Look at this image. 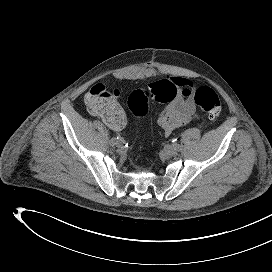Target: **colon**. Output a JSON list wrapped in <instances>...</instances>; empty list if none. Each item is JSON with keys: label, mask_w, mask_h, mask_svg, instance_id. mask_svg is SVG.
Returning <instances> with one entry per match:
<instances>
[{"label": "colon", "mask_w": 272, "mask_h": 272, "mask_svg": "<svg viewBox=\"0 0 272 272\" xmlns=\"http://www.w3.org/2000/svg\"><path fill=\"white\" fill-rule=\"evenodd\" d=\"M184 97L193 96L195 103L208 118H216L221 113V102L217 93L207 85L183 87L179 89L171 79H162L151 84L147 89L133 91L128 98V107L137 117H143L148 112V102H170L178 93ZM119 94L117 90L109 91L102 84L91 88L86 95V104L90 111L99 116H105L113 106V100Z\"/></svg>", "instance_id": "colon-1"}]
</instances>
